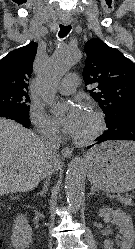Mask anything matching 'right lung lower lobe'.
Listing matches in <instances>:
<instances>
[{
  "label": "right lung lower lobe",
  "mask_w": 135,
  "mask_h": 249,
  "mask_svg": "<svg viewBox=\"0 0 135 249\" xmlns=\"http://www.w3.org/2000/svg\"><path fill=\"white\" fill-rule=\"evenodd\" d=\"M0 117H6L15 120L27 128L30 127L28 115L23 114L12 107L0 106Z\"/></svg>",
  "instance_id": "1"
}]
</instances>
